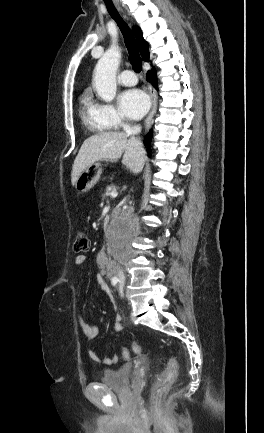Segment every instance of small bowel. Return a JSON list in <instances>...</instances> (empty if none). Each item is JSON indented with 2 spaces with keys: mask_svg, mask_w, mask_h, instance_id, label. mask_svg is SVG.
Here are the masks:
<instances>
[{
  "mask_svg": "<svg viewBox=\"0 0 264 433\" xmlns=\"http://www.w3.org/2000/svg\"><path fill=\"white\" fill-rule=\"evenodd\" d=\"M85 262H86V256H84V255H78V256L75 257V264H76V266L82 267L85 264ZM96 280H97L100 288L103 291H105L106 293L110 292L109 287L106 284V282H105L104 278L102 277V275H97ZM119 321H120V317H118L117 329L121 330V326H120ZM79 323H80V326L82 328L83 333L85 334V336L87 338H89V339H95V338L98 337V335H99V328H98L97 325L90 324V323L86 322L83 317L79 318ZM89 357H90L91 360H93L95 362H100L101 361L100 356L96 352H94V351H89ZM117 360H118L117 355L113 354V355H111L109 357H106L103 360V363L105 365H113V364H115L117 362Z\"/></svg>",
  "mask_w": 264,
  "mask_h": 433,
  "instance_id": "small-bowel-1",
  "label": "small bowel"
}]
</instances>
